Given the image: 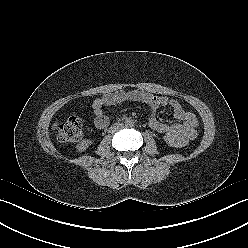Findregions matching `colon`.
I'll use <instances>...</instances> for the list:
<instances>
[{
    "mask_svg": "<svg viewBox=\"0 0 248 248\" xmlns=\"http://www.w3.org/2000/svg\"><path fill=\"white\" fill-rule=\"evenodd\" d=\"M57 138L63 142H76L83 137L82 120L78 116H72L57 128ZM165 143L171 147H180L183 145L180 138L174 134H164Z\"/></svg>",
    "mask_w": 248,
    "mask_h": 248,
    "instance_id": "obj_1",
    "label": "colon"
}]
</instances>
